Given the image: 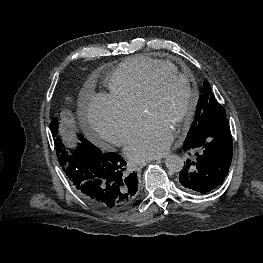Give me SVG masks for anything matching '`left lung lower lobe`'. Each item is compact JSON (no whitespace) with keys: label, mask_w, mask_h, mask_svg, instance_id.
<instances>
[{"label":"left lung lower lobe","mask_w":263,"mask_h":263,"mask_svg":"<svg viewBox=\"0 0 263 263\" xmlns=\"http://www.w3.org/2000/svg\"><path fill=\"white\" fill-rule=\"evenodd\" d=\"M228 123L227 118H221L211 123L200 135L186 137L183 150L195 151L196 156L186 160L179 175L180 183L188 191L206 194L223 183L233 155Z\"/></svg>","instance_id":"left-lung-lower-lobe-1"}]
</instances>
